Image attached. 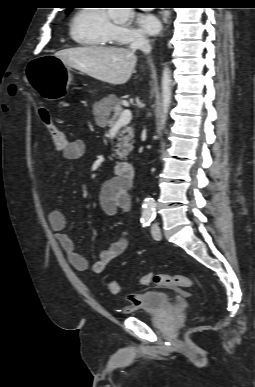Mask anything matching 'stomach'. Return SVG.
I'll use <instances>...</instances> for the list:
<instances>
[{"label": "stomach", "mask_w": 255, "mask_h": 387, "mask_svg": "<svg viewBox=\"0 0 255 387\" xmlns=\"http://www.w3.org/2000/svg\"><path fill=\"white\" fill-rule=\"evenodd\" d=\"M71 71L58 55H35L30 66H25L26 82H31L33 91H38V95L55 100L65 95L66 91H75V84H71Z\"/></svg>", "instance_id": "stomach-1"}]
</instances>
